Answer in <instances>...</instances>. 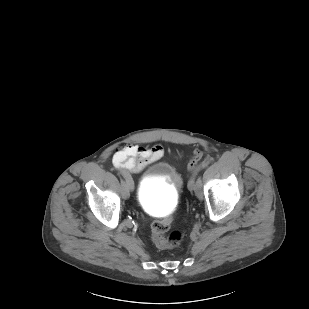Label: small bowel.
<instances>
[{
  "label": "small bowel",
  "instance_id": "c3829d8e",
  "mask_svg": "<svg viewBox=\"0 0 309 309\" xmlns=\"http://www.w3.org/2000/svg\"><path fill=\"white\" fill-rule=\"evenodd\" d=\"M163 155V147L154 145L143 147L139 145H128L113 156L116 167L130 172H141L150 163L157 161Z\"/></svg>",
  "mask_w": 309,
  "mask_h": 309
}]
</instances>
